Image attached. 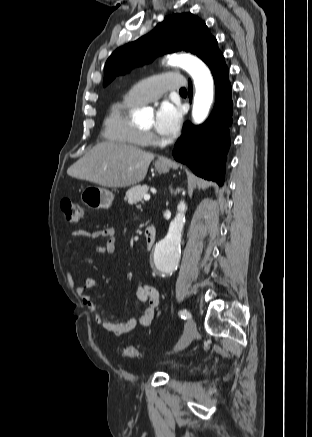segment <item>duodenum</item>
Instances as JSON below:
<instances>
[{"instance_id":"obj_1","label":"duodenum","mask_w":312,"mask_h":437,"mask_svg":"<svg viewBox=\"0 0 312 437\" xmlns=\"http://www.w3.org/2000/svg\"><path fill=\"white\" fill-rule=\"evenodd\" d=\"M156 240V228L154 225H147L145 228V249L148 251Z\"/></svg>"}]
</instances>
